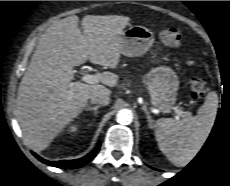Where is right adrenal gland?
Segmentation results:
<instances>
[{"label":"right adrenal gland","mask_w":230,"mask_h":186,"mask_svg":"<svg viewBox=\"0 0 230 186\" xmlns=\"http://www.w3.org/2000/svg\"><path fill=\"white\" fill-rule=\"evenodd\" d=\"M100 107H101L100 105H97V106H90V105H88L86 107V111L92 110L93 113H94V116L96 117L97 113H98V108H100Z\"/></svg>","instance_id":"right-adrenal-gland-1"}]
</instances>
